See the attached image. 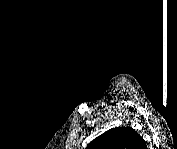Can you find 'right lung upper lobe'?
Instances as JSON below:
<instances>
[{
	"instance_id": "1",
	"label": "right lung upper lobe",
	"mask_w": 177,
	"mask_h": 149,
	"mask_svg": "<svg viewBox=\"0 0 177 149\" xmlns=\"http://www.w3.org/2000/svg\"><path fill=\"white\" fill-rule=\"evenodd\" d=\"M145 146V141L131 127H117L91 141L87 149H139Z\"/></svg>"
}]
</instances>
